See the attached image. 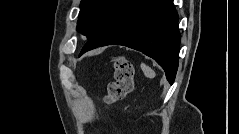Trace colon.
Here are the masks:
<instances>
[{
    "label": "colon",
    "mask_w": 239,
    "mask_h": 134,
    "mask_svg": "<svg viewBox=\"0 0 239 134\" xmlns=\"http://www.w3.org/2000/svg\"><path fill=\"white\" fill-rule=\"evenodd\" d=\"M114 80L110 82L105 96L108 105L123 100L133 89L134 67L125 59H117L113 64Z\"/></svg>",
    "instance_id": "1"
}]
</instances>
